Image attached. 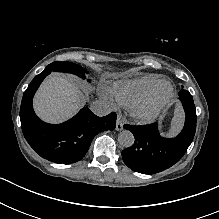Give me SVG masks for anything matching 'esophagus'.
Wrapping results in <instances>:
<instances>
[{
	"label": "esophagus",
	"instance_id": "obj_1",
	"mask_svg": "<svg viewBox=\"0 0 219 219\" xmlns=\"http://www.w3.org/2000/svg\"><path fill=\"white\" fill-rule=\"evenodd\" d=\"M123 125H124V122H123V119L121 116H118L117 118V124H116V130L117 131H121L123 129Z\"/></svg>",
	"mask_w": 219,
	"mask_h": 219
}]
</instances>
